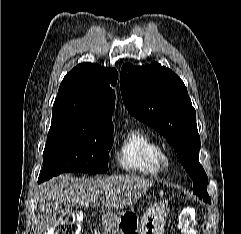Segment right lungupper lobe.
I'll list each match as a JSON object with an SVG mask.
<instances>
[{
  "label": "right lung upper lobe",
  "instance_id": "obj_1",
  "mask_svg": "<svg viewBox=\"0 0 241 234\" xmlns=\"http://www.w3.org/2000/svg\"><path fill=\"white\" fill-rule=\"evenodd\" d=\"M118 73L92 63L73 68L60 84L52 112H66L78 123L93 126H113L110 114L115 105Z\"/></svg>",
  "mask_w": 241,
  "mask_h": 234
}]
</instances>
